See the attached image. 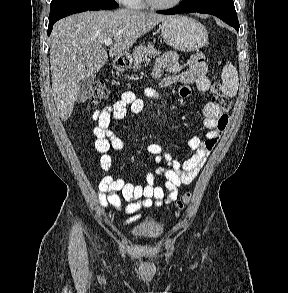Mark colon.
Wrapping results in <instances>:
<instances>
[{"label":"colon","instance_id":"colon-1","mask_svg":"<svg viewBox=\"0 0 288 293\" xmlns=\"http://www.w3.org/2000/svg\"><path fill=\"white\" fill-rule=\"evenodd\" d=\"M211 91L214 94V100L217 105L226 113L229 112L231 109V102L230 99L222 94L219 89L218 82H214ZM110 94L109 88L101 81H97L93 84L91 89V96L90 99L93 103H99L108 98ZM191 195L186 194L182 197L181 200L177 202V209L182 210L184 209L190 202Z\"/></svg>","mask_w":288,"mask_h":293}]
</instances>
